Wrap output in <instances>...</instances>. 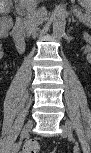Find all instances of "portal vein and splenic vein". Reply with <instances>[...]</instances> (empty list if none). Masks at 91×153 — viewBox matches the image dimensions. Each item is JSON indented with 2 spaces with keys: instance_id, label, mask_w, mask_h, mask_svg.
Returning a JSON list of instances; mask_svg holds the SVG:
<instances>
[{
  "instance_id": "1",
  "label": "portal vein and splenic vein",
  "mask_w": 91,
  "mask_h": 153,
  "mask_svg": "<svg viewBox=\"0 0 91 153\" xmlns=\"http://www.w3.org/2000/svg\"><path fill=\"white\" fill-rule=\"evenodd\" d=\"M81 15V13L80 12H77V16L79 17ZM80 20V19H79ZM81 21V20H80Z\"/></svg>"
}]
</instances>
